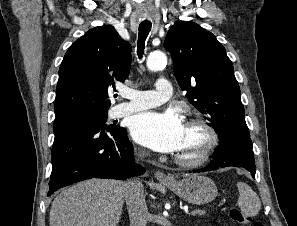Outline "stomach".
I'll return each mask as SVG.
<instances>
[{"label":"stomach","instance_id":"stomach-1","mask_svg":"<svg viewBox=\"0 0 297 226\" xmlns=\"http://www.w3.org/2000/svg\"><path fill=\"white\" fill-rule=\"evenodd\" d=\"M164 185L188 203L197 205L213 201L218 194L214 181L203 175H188Z\"/></svg>","mask_w":297,"mask_h":226}]
</instances>
